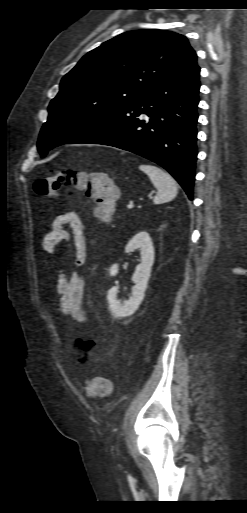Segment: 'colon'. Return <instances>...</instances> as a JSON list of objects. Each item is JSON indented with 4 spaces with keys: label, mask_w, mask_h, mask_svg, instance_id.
Instances as JSON below:
<instances>
[{
    "label": "colon",
    "mask_w": 247,
    "mask_h": 513,
    "mask_svg": "<svg viewBox=\"0 0 247 513\" xmlns=\"http://www.w3.org/2000/svg\"><path fill=\"white\" fill-rule=\"evenodd\" d=\"M76 187L88 193L95 203L94 215L104 222L111 220V213L118 198L117 190L110 184L108 177L101 172H80L64 170L51 172L35 181L33 188L37 195L55 196L59 192ZM89 378L83 382V390L88 397L104 398L111 394L112 384L104 377L96 376L98 368L89 364L85 368Z\"/></svg>",
    "instance_id": "5ec220e1"
}]
</instances>
